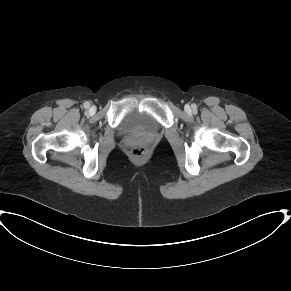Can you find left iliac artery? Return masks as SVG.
<instances>
[{
	"label": "left iliac artery",
	"instance_id": "obj_1",
	"mask_svg": "<svg viewBox=\"0 0 291 291\" xmlns=\"http://www.w3.org/2000/svg\"><path fill=\"white\" fill-rule=\"evenodd\" d=\"M192 108H193V110L195 111L196 108H197V106H196V105H193Z\"/></svg>",
	"mask_w": 291,
	"mask_h": 291
}]
</instances>
